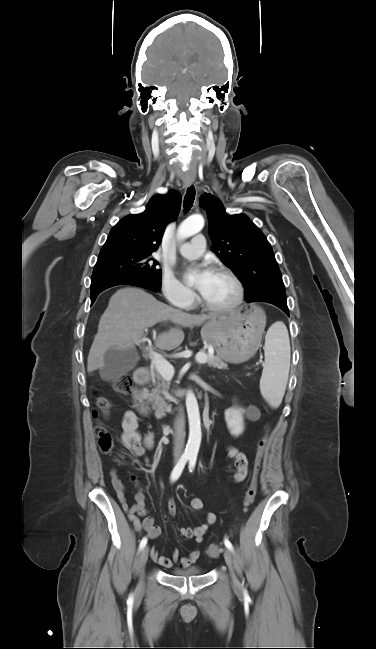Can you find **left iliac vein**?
I'll use <instances>...</instances> for the list:
<instances>
[{
	"label": "left iliac vein",
	"mask_w": 376,
	"mask_h": 649,
	"mask_svg": "<svg viewBox=\"0 0 376 649\" xmlns=\"http://www.w3.org/2000/svg\"><path fill=\"white\" fill-rule=\"evenodd\" d=\"M224 558H225V562H226V564H227V566H228V568L230 570V573H231L233 586H234L235 589L238 590V589H240V582H239L237 576L235 575V572H234V569H233V556H232L231 551L228 548H225V550H224Z\"/></svg>",
	"instance_id": "left-iliac-vein-1"
}]
</instances>
